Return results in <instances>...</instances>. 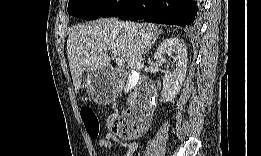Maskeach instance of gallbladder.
Instances as JSON below:
<instances>
[{
	"label": "gallbladder",
	"instance_id": "obj_1",
	"mask_svg": "<svg viewBox=\"0 0 261 156\" xmlns=\"http://www.w3.org/2000/svg\"><path fill=\"white\" fill-rule=\"evenodd\" d=\"M132 74H129L128 76V83L130 85H126V89H124L125 92H132L131 90L136 89L135 85L140 82V75L137 72H131ZM124 94H130V93H124Z\"/></svg>",
	"mask_w": 261,
	"mask_h": 156
}]
</instances>
